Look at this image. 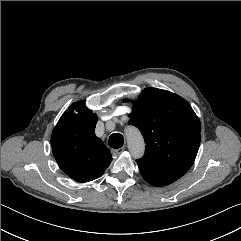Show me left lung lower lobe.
<instances>
[{
    "instance_id": "left-lung-lower-lobe-1",
    "label": "left lung lower lobe",
    "mask_w": 241,
    "mask_h": 241,
    "mask_svg": "<svg viewBox=\"0 0 241 241\" xmlns=\"http://www.w3.org/2000/svg\"><path fill=\"white\" fill-rule=\"evenodd\" d=\"M147 181V180H146ZM149 184L153 185V186H163L162 184H158V183H154V182H150L147 181Z\"/></svg>"
}]
</instances>
